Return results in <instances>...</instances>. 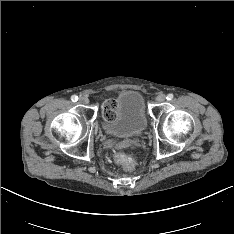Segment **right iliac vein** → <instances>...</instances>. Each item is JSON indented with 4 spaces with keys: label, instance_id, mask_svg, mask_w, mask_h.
I'll return each instance as SVG.
<instances>
[{
    "label": "right iliac vein",
    "instance_id": "right-iliac-vein-1",
    "mask_svg": "<svg viewBox=\"0 0 234 234\" xmlns=\"http://www.w3.org/2000/svg\"><path fill=\"white\" fill-rule=\"evenodd\" d=\"M79 102L82 104H88L89 103V99L86 96H82L79 98Z\"/></svg>",
    "mask_w": 234,
    "mask_h": 234
}]
</instances>
